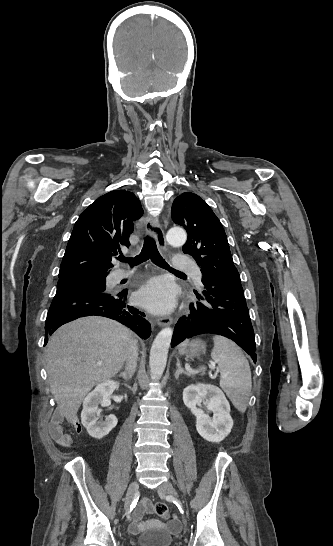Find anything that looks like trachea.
<instances>
[{"instance_id": "trachea-1", "label": "trachea", "mask_w": 333, "mask_h": 546, "mask_svg": "<svg viewBox=\"0 0 333 546\" xmlns=\"http://www.w3.org/2000/svg\"><path fill=\"white\" fill-rule=\"evenodd\" d=\"M148 259H151V261L156 264L157 266L166 269L168 271L184 274L183 272H180L178 270L173 269L168 265V263L162 258L160 255L156 242L151 237H146L144 241L143 248L139 255L135 256L134 258H126L124 256L118 257V260L121 262H128L131 266L138 265L140 263H143L147 261Z\"/></svg>"}]
</instances>
